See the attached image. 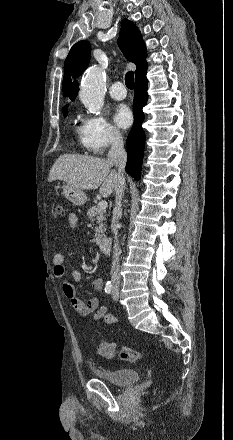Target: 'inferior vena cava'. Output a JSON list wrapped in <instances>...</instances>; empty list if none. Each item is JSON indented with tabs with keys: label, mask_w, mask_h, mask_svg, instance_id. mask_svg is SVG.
I'll use <instances>...</instances> for the list:
<instances>
[{
	"label": "inferior vena cava",
	"mask_w": 233,
	"mask_h": 440,
	"mask_svg": "<svg viewBox=\"0 0 233 440\" xmlns=\"http://www.w3.org/2000/svg\"><path fill=\"white\" fill-rule=\"evenodd\" d=\"M111 149L108 152V161L117 168V181L115 186V207L113 209V217L111 223V230L114 234V251L111 266V281L112 284L118 286L120 284L119 274V242H118V221L122 216L121 201L124 195L125 178L123 171L125 169L127 154L123 145V138L119 133H114L112 136Z\"/></svg>",
	"instance_id": "obj_1"
}]
</instances>
